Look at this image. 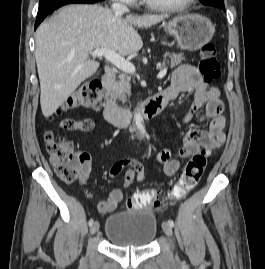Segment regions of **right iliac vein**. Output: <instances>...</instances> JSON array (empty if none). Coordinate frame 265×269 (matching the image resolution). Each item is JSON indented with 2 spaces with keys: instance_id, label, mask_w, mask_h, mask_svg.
Here are the masks:
<instances>
[{
  "instance_id": "1",
  "label": "right iliac vein",
  "mask_w": 265,
  "mask_h": 269,
  "mask_svg": "<svg viewBox=\"0 0 265 269\" xmlns=\"http://www.w3.org/2000/svg\"><path fill=\"white\" fill-rule=\"evenodd\" d=\"M99 229V223L96 221L90 227V233L95 234Z\"/></svg>"
}]
</instances>
